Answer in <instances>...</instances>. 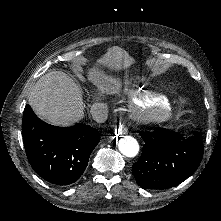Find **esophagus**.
<instances>
[{
    "label": "esophagus",
    "instance_id": "obj_1",
    "mask_svg": "<svg viewBox=\"0 0 221 221\" xmlns=\"http://www.w3.org/2000/svg\"><path fill=\"white\" fill-rule=\"evenodd\" d=\"M119 130H120V132H121L123 135H126L127 132H128L127 128H126L124 125H121V126L119 127Z\"/></svg>",
    "mask_w": 221,
    "mask_h": 221
}]
</instances>
